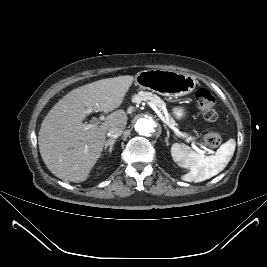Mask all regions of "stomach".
Instances as JSON below:
<instances>
[{"instance_id":"1","label":"stomach","mask_w":267,"mask_h":267,"mask_svg":"<svg viewBox=\"0 0 267 267\" xmlns=\"http://www.w3.org/2000/svg\"><path fill=\"white\" fill-rule=\"evenodd\" d=\"M135 80L140 88L168 97L187 95L195 89L197 83L192 75L160 69L141 71ZM173 115L181 120L186 117L187 111L184 107H174Z\"/></svg>"}]
</instances>
